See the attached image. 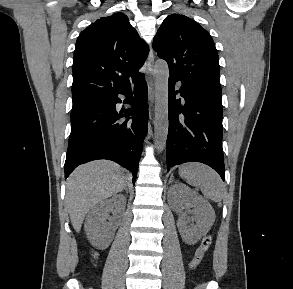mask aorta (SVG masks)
<instances>
[{"mask_svg":"<svg viewBox=\"0 0 293 289\" xmlns=\"http://www.w3.org/2000/svg\"><path fill=\"white\" fill-rule=\"evenodd\" d=\"M155 84V145L158 151H163L168 135V79L169 69L165 61L159 60L153 70Z\"/></svg>","mask_w":293,"mask_h":289,"instance_id":"obj_1","label":"aorta"}]
</instances>
